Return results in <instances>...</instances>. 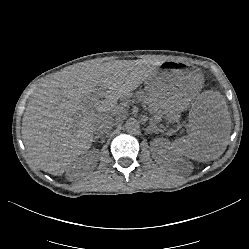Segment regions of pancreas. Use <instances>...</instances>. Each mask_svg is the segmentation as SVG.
Returning <instances> with one entry per match:
<instances>
[{
	"mask_svg": "<svg viewBox=\"0 0 249 249\" xmlns=\"http://www.w3.org/2000/svg\"><path fill=\"white\" fill-rule=\"evenodd\" d=\"M139 100L143 103H146L149 106V112L151 114H156L160 109L159 105L156 102H153L144 92H137Z\"/></svg>",
	"mask_w": 249,
	"mask_h": 249,
	"instance_id": "cf45deb5",
	"label": "pancreas"
}]
</instances>
